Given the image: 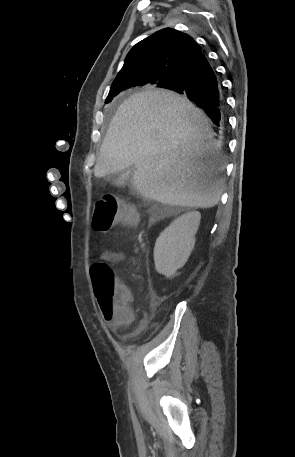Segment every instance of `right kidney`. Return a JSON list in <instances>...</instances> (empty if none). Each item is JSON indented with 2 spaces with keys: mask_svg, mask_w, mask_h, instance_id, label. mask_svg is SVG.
I'll return each mask as SVG.
<instances>
[{
  "mask_svg": "<svg viewBox=\"0 0 295 457\" xmlns=\"http://www.w3.org/2000/svg\"><path fill=\"white\" fill-rule=\"evenodd\" d=\"M201 215L188 212L175 219L158 237L154 262L158 273L171 277L187 262L195 245V234Z\"/></svg>",
  "mask_w": 295,
  "mask_h": 457,
  "instance_id": "ca27d5eb",
  "label": "right kidney"
}]
</instances>
